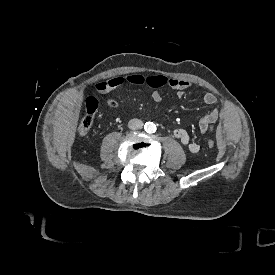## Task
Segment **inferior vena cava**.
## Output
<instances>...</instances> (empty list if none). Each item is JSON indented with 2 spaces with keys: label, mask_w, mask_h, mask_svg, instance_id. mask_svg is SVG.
Returning a JSON list of instances; mask_svg holds the SVG:
<instances>
[{
  "label": "inferior vena cava",
  "mask_w": 275,
  "mask_h": 275,
  "mask_svg": "<svg viewBox=\"0 0 275 275\" xmlns=\"http://www.w3.org/2000/svg\"><path fill=\"white\" fill-rule=\"evenodd\" d=\"M143 121L140 120V119H131L129 122H128V128L129 129H132V130H137V129H141L143 127Z\"/></svg>",
  "instance_id": "602c4592"
}]
</instances>
